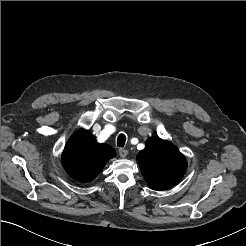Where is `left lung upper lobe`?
Returning <instances> with one entry per match:
<instances>
[{
	"label": "left lung upper lobe",
	"mask_w": 246,
	"mask_h": 246,
	"mask_svg": "<svg viewBox=\"0 0 246 246\" xmlns=\"http://www.w3.org/2000/svg\"><path fill=\"white\" fill-rule=\"evenodd\" d=\"M137 161L148 186L164 190L178 183L187 169L183 154L172 143L160 138H149Z\"/></svg>",
	"instance_id": "left-lung-upper-lobe-1"
}]
</instances>
